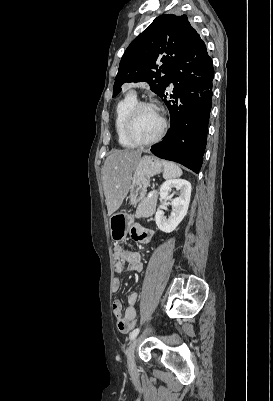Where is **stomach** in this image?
Listing matches in <instances>:
<instances>
[{
	"instance_id": "obj_1",
	"label": "stomach",
	"mask_w": 273,
	"mask_h": 401,
	"mask_svg": "<svg viewBox=\"0 0 273 401\" xmlns=\"http://www.w3.org/2000/svg\"><path fill=\"white\" fill-rule=\"evenodd\" d=\"M162 170V162L155 156H142L136 168H134L131 174V184L129 188V201L130 205H138L140 201L146 196L147 186H149L150 176L159 174ZM134 219L127 213H115L109 219L110 235L112 241H124L127 237V233L133 225Z\"/></svg>"
}]
</instances>
